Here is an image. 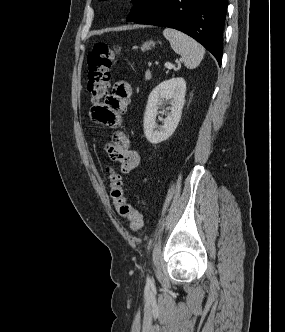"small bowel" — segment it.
<instances>
[{
    "instance_id": "small-bowel-1",
    "label": "small bowel",
    "mask_w": 285,
    "mask_h": 332,
    "mask_svg": "<svg viewBox=\"0 0 285 332\" xmlns=\"http://www.w3.org/2000/svg\"><path fill=\"white\" fill-rule=\"evenodd\" d=\"M132 88L126 81H119L105 102L94 105L90 110L92 121L99 125L119 127L131 101ZM130 137L121 129L115 130L111 141L105 149L111 160L121 165L123 172L128 173L140 163L139 154L130 148Z\"/></svg>"
}]
</instances>
